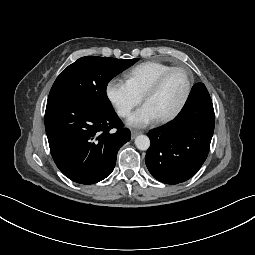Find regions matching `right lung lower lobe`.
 I'll list each match as a JSON object with an SVG mask.
<instances>
[{
  "label": "right lung lower lobe",
  "instance_id": "1",
  "mask_svg": "<svg viewBox=\"0 0 255 255\" xmlns=\"http://www.w3.org/2000/svg\"><path fill=\"white\" fill-rule=\"evenodd\" d=\"M45 130L57 167L80 184H94L109 176L118 150L131 137L114 111L104 112L70 98L48 99Z\"/></svg>",
  "mask_w": 255,
  "mask_h": 255
}]
</instances>
